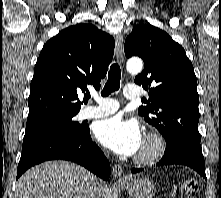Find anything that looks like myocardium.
Returning <instances> with one entry per match:
<instances>
[{"label":"myocardium","instance_id":"1","mask_svg":"<svg viewBox=\"0 0 221 198\" xmlns=\"http://www.w3.org/2000/svg\"><path fill=\"white\" fill-rule=\"evenodd\" d=\"M143 142L147 144V149L135 155L133 161L138 165H150L155 163L165 151V142L162 136L156 131H147Z\"/></svg>","mask_w":221,"mask_h":198}]
</instances>
